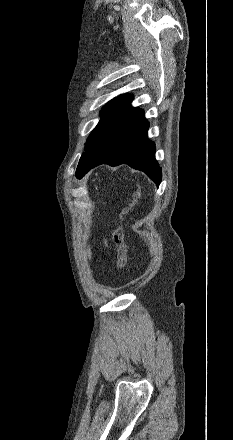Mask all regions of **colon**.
Here are the masks:
<instances>
[{
	"label": "colon",
	"instance_id": "5ec220e1",
	"mask_svg": "<svg viewBox=\"0 0 233 440\" xmlns=\"http://www.w3.org/2000/svg\"><path fill=\"white\" fill-rule=\"evenodd\" d=\"M140 197V192L135 190L132 194L130 202L121 210L119 219L120 224L113 233L112 240L117 250V269L123 272L127 263V248L124 242V228L122 225L123 217L132 209Z\"/></svg>",
	"mask_w": 233,
	"mask_h": 440
}]
</instances>
